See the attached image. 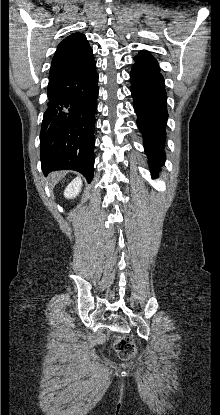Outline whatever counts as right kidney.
<instances>
[{"mask_svg": "<svg viewBox=\"0 0 220 415\" xmlns=\"http://www.w3.org/2000/svg\"><path fill=\"white\" fill-rule=\"evenodd\" d=\"M81 187L82 180L80 177H77L66 187L64 196L68 199L75 198L80 193Z\"/></svg>", "mask_w": 220, "mask_h": 415, "instance_id": "right-kidney-1", "label": "right kidney"}]
</instances>
